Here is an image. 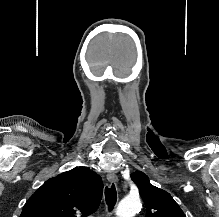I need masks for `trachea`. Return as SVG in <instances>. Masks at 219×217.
I'll use <instances>...</instances> for the list:
<instances>
[{
  "label": "trachea",
  "instance_id": "obj_1",
  "mask_svg": "<svg viewBox=\"0 0 219 217\" xmlns=\"http://www.w3.org/2000/svg\"><path fill=\"white\" fill-rule=\"evenodd\" d=\"M105 200L108 205V210L112 211L117 201V192L114 184L110 187H105Z\"/></svg>",
  "mask_w": 219,
  "mask_h": 217
}]
</instances>
